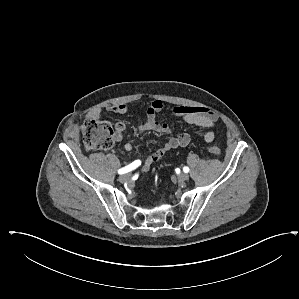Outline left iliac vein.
<instances>
[{"label":"left iliac vein","mask_w":299,"mask_h":299,"mask_svg":"<svg viewBox=\"0 0 299 299\" xmlns=\"http://www.w3.org/2000/svg\"><path fill=\"white\" fill-rule=\"evenodd\" d=\"M180 182H185L189 179V175L187 173H181L178 176Z\"/></svg>","instance_id":"1"}]
</instances>
